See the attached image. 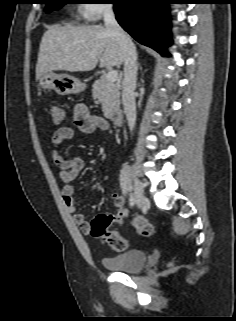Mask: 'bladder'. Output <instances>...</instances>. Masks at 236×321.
<instances>
[{
    "label": "bladder",
    "mask_w": 236,
    "mask_h": 321,
    "mask_svg": "<svg viewBox=\"0 0 236 321\" xmlns=\"http://www.w3.org/2000/svg\"><path fill=\"white\" fill-rule=\"evenodd\" d=\"M147 254L140 249H132L118 255L104 257L102 263L117 272H137L147 263Z\"/></svg>",
    "instance_id": "obj_1"
}]
</instances>
